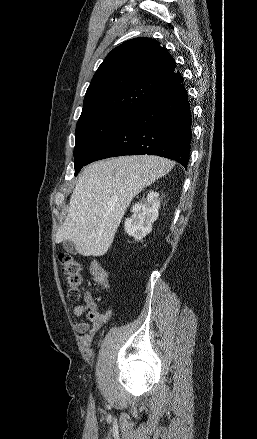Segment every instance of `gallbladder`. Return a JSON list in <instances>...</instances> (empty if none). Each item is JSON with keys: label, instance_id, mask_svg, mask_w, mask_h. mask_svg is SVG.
Wrapping results in <instances>:
<instances>
[{"label": "gallbladder", "instance_id": "bac80fb5", "mask_svg": "<svg viewBox=\"0 0 257 439\" xmlns=\"http://www.w3.org/2000/svg\"><path fill=\"white\" fill-rule=\"evenodd\" d=\"M63 248L69 253L76 254L75 244L72 241H63Z\"/></svg>", "mask_w": 257, "mask_h": 439}]
</instances>
